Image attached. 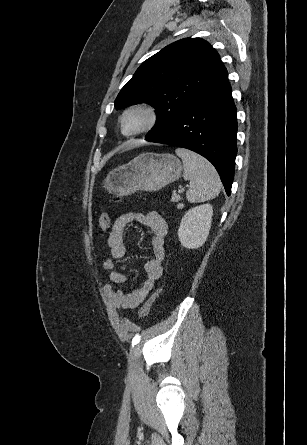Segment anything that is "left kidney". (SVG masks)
I'll return each instance as SVG.
<instances>
[{"mask_svg":"<svg viewBox=\"0 0 307 445\" xmlns=\"http://www.w3.org/2000/svg\"><path fill=\"white\" fill-rule=\"evenodd\" d=\"M212 212L211 204H200L187 210L178 231L182 247L199 249L204 245L211 229Z\"/></svg>","mask_w":307,"mask_h":445,"instance_id":"left-kidney-1","label":"left kidney"}]
</instances>
